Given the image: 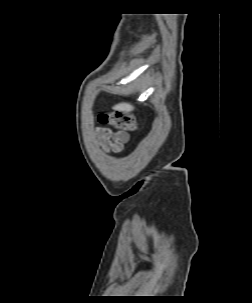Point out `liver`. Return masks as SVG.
I'll return each instance as SVG.
<instances>
[{"mask_svg":"<svg viewBox=\"0 0 252 303\" xmlns=\"http://www.w3.org/2000/svg\"><path fill=\"white\" fill-rule=\"evenodd\" d=\"M114 109H116L118 111L130 112L134 109V106L129 103H120V104L115 105Z\"/></svg>","mask_w":252,"mask_h":303,"instance_id":"obj_1","label":"liver"}]
</instances>
